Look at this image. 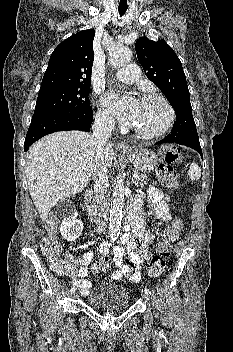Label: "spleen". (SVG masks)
<instances>
[{
    "instance_id": "3e777b00",
    "label": "spleen",
    "mask_w": 233,
    "mask_h": 352,
    "mask_svg": "<svg viewBox=\"0 0 233 352\" xmlns=\"http://www.w3.org/2000/svg\"><path fill=\"white\" fill-rule=\"evenodd\" d=\"M188 175L191 181H198L201 177V169L196 163L190 165Z\"/></svg>"
}]
</instances>
